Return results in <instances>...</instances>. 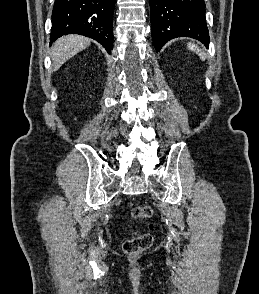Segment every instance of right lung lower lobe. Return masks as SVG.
<instances>
[{
  "label": "right lung lower lobe",
  "instance_id": "obj_1",
  "mask_svg": "<svg viewBox=\"0 0 259 294\" xmlns=\"http://www.w3.org/2000/svg\"><path fill=\"white\" fill-rule=\"evenodd\" d=\"M115 0H55L51 43L67 34L90 37L111 53Z\"/></svg>",
  "mask_w": 259,
  "mask_h": 294
}]
</instances>
